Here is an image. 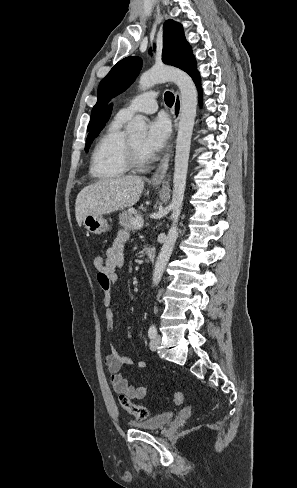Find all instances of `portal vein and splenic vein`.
<instances>
[{
  "mask_svg": "<svg viewBox=\"0 0 297 488\" xmlns=\"http://www.w3.org/2000/svg\"><path fill=\"white\" fill-rule=\"evenodd\" d=\"M132 224L133 226L136 228V229H140L143 224H144V220L142 218V216H137L133 221H132Z\"/></svg>",
  "mask_w": 297,
  "mask_h": 488,
  "instance_id": "obj_1",
  "label": "portal vein and splenic vein"
}]
</instances>
